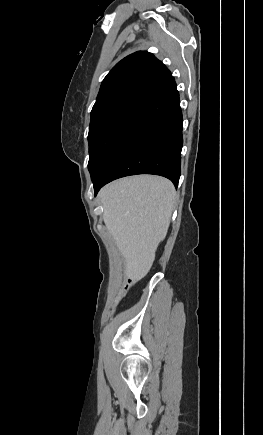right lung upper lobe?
<instances>
[{"mask_svg": "<svg viewBox=\"0 0 263 435\" xmlns=\"http://www.w3.org/2000/svg\"><path fill=\"white\" fill-rule=\"evenodd\" d=\"M174 81L171 72L151 53L135 52L118 62L104 78L92 112L118 102L145 104Z\"/></svg>", "mask_w": 263, "mask_h": 435, "instance_id": "obj_1", "label": "right lung upper lobe"}]
</instances>
